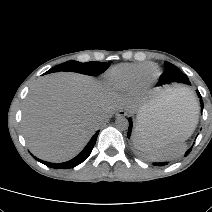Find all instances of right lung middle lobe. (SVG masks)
<instances>
[{
  "mask_svg": "<svg viewBox=\"0 0 212 212\" xmlns=\"http://www.w3.org/2000/svg\"><path fill=\"white\" fill-rule=\"evenodd\" d=\"M110 66V63L105 62H87L81 63L77 61H67L63 64H60L52 69L49 70L51 72H58V71H72L77 73H82L91 76H98L107 70Z\"/></svg>",
  "mask_w": 212,
  "mask_h": 212,
  "instance_id": "dd1d6c3e",
  "label": "right lung middle lobe"
}]
</instances>
